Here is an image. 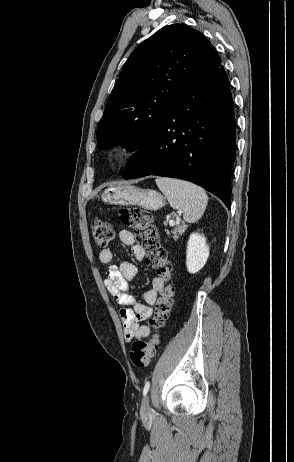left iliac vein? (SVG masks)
<instances>
[{
	"instance_id": "left-iliac-vein-1",
	"label": "left iliac vein",
	"mask_w": 294,
	"mask_h": 462,
	"mask_svg": "<svg viewBox=\"0 0 294 462\" xmlns=\"http://www.w3.org/2000/svg\"><path fill=\"white\" fill-rule=\"evenodd\" d=\"M151 412V408H150V405H149V398L148 397H145L143 402H142V406H141V413L143 415H147Z\"/></svg>"
}]
</instances>
